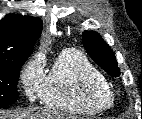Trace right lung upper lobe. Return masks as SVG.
Returning a JSON list of instances; mask_svg holds the SVG:
<instances>
[{"mask_svg": "<svg viewBox=\"0 0 142 119\" xmlns=\"http://www.w3.org/2000/svg\"><path fill=\"white\" fill-rule=\"evenodd\" d=\"M41 30V20L34 17L12 14L0 20V62L28 58Z\"/></svg>", "mask_w": 142, "mask_h": 119, "instance_id": "right-lung-upper-lobe-1", "label": "right lung upper lobe"}]
</instances>
